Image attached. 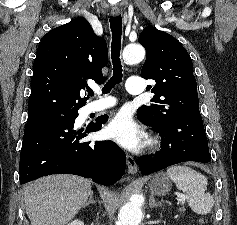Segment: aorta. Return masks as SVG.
I'll return each instance as SVG.
<instances>
[{
	"label": "aorta",
	"instance_id": "aorta-1",
	"mask_svg": "<svg viewBox=\"0 0 237 225\" xmlns=\"http://www.w3.org/2000/svg\"><path fill=\"white\" fill-rule=\"evenodd\" d=\"M145 57V49L138 44L127 45L123 50V60L127 64L140 63ZM144 198L139 193L133 194L120 209L117 225H139L142 220Z\"/></svg>",
	"mask_w": 237,
	"mask_h": 225
}]
</instances>
